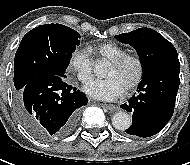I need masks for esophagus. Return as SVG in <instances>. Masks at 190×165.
<instances>
[{
	"label": "esophagus",
	"mask_w": 190,
	"mask_h": 165,
	"mask_svg": "<svg viewBox=\"0 0 190 165\" xmlns=\"http://www.w3.org/2000/svg\"><path fill=\"white\" fill-rule=\"evenodd\" d=\"M99 105L102 106V107L107 108L110 111H116L118 109L117 106L112 105V104L100 103Z\"/></svg>",
	"instance_id": "obj_1"
}]
</instances>
